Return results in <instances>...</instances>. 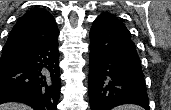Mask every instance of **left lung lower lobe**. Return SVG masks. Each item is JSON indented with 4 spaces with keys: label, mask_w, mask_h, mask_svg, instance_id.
Here are the masks:
<instances>
[{
    "label": "left lung lower lobe",
    "mask_w": 171,
    "mask_h": 110,
    "mask_svg": "<svg viewBox=\"0 0 171 110\" xmlns=\"http://www.w3.org/2000/svg\"><path fill=\"white\" fill-rule=\"evenodd\" d=\"M88 92L91 110L137 104L149 110L136 47L113 20L99 16L90 30Z\"/></svg>",
    "instance_id": "0a47b994"
}]
</instances>
